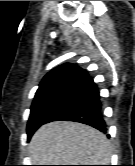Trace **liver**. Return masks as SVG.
I'll list each match as a JSON object with an SVG mask.
<instances>
[{
	"label": "liver",
	"mask_w": 135,
	"mask_h": 166,
	"mask_svg": "<svg viewBox=\"0 0 135 166\" xmlns=\"http://www.w3.org/2000/svg\"><path fill=\"white\" fill-rule=\"evenodd\" d=\"M112 148L100 131L77 122L41 126L29 143L34 165H108Z\"/></svg>",
	"instance_id": "1"
}]
</instances>
